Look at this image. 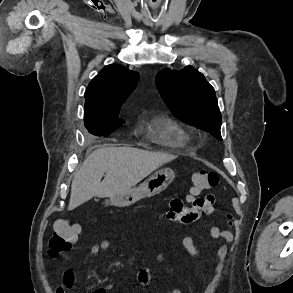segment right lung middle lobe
I'll return each mask as SVG.
<instances>
[{
  "label": "right lung middle lobe",
  "mask_w": 293,
  "mask_h": 293,
  "mask_svg": "<svg viewBox=\"0 0 293 293\" xmlns=\"http://www.w3.org/2000/svg\"><path fill=\"white\" fill-rule=\"evenodd\" d=\"M118 115L119 112L101 116H84L85 127L96 136L110 134L125 123L124 120L118 119Z\"/></svg>",
  "instance_id": "dd1d6c3e"
}]
</instances>
